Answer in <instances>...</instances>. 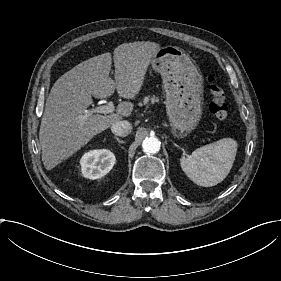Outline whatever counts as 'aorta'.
I'll list each match as a JSON object with an SVG mask.
<instances>
[{
	"label": "aorta",
	"mask_w": 281,
	"mask_h": 281,
	"mask_svg": "<svg viewBox=\"0 0 281 281\" xmlns=\"http://www.w3.org/2000/svg\"><path fill=\"white\" fill-rule=\"evenodd\" d=\"M160 141L157 137H147L142 143L143 151L146 153L155 154L160 150Z\"/></svg>",
	"instance_id": "762f6f07"
}]
</instances>
